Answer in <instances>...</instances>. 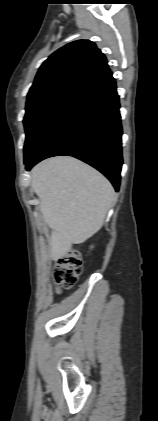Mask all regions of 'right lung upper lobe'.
Listing matches in <instances>:
<instances>
[{"label": "right lung upper lobe", "instance_id": "cb5924a9", "mask_svg": "<svg viewBox=\"0 0 158 421\" xmlns=\"http://www.w3.org/2000/svg\"><path fill=\"white\" fill-rule=\"evenodd\" d=\"M108 67L104 54L89 40H77L55 51L41 65L30 92L62 82L83 84Z\"/></svg>", "mask_w": 158, "mask_h": 421}]
</instances>
